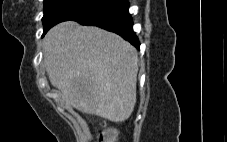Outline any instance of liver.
Listing matches in <instances>:
<instances>
[{"mask_svg":"<svg viewBox=\"0 0 227 142\" xmlns=\"http://www.w3.org/2000/svg\"><path fill=\"white\" fill-rule=\"evenodd\" d=\"M43 57L52 86L82 113L124 122L136 103L137 50L103 29L66 21L44 38Z\"/></svg>","mask_w":227,"mask_h":142,"instance_id":"liver-1","label":"liver"}]
</instances>
